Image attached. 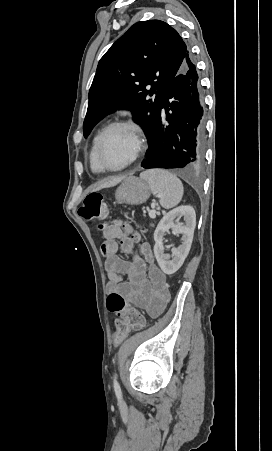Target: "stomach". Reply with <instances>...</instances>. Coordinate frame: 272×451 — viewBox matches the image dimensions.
<instances>
[{
    "label": "stomach",
    "instance_id": "stomach-1",
    "mask_svg": "<svg viewBox=\"0 0 272 451\" xmlns=\"http://www.w3.org/2000/svg\"><path fill=\"white\" fill-rule=\"evenodd\" d=\"M151 194L148 182L139 180L136 176H128L122 182L121 186L115 192V198L118 204H130V206H138L144 204Z\"/></svg>",
    "mask_w": 272,
    "mask_h": 451
}]
</instances>
